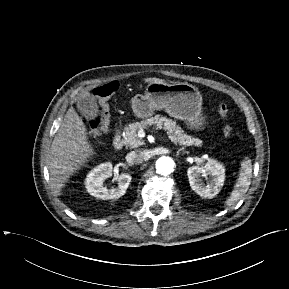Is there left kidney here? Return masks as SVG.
<instances>
[{"label":"left kidney","instance_id":"5707ae66","mask_svg":"<svg viewBox=\"0 0 289 289\" xmlns=\"http://www.w3.org/2000/svg\"><path fill=\"white\" fill-rule=\"evenodd\" d=\"M187 176L193 191L201 197L211 199L220 192L224 184L225 169L220 162L209 159L205 166L189 167Z\"/></svg>","mask_w":289,"mask_h":289}]
</instances>
